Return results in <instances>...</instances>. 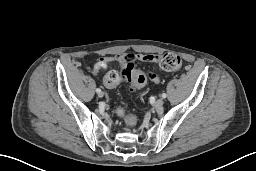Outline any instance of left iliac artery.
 Listing matches in <instances>:
<instances>
[{
    "mask_svg": "<svg viewBox=\"0 0 256 171\" xmlns=\"http://www.w3.org/2000/svg\"><path fill=\"white\" fill-rule=\"evenodd\" d=\"M161 96H162V98H166L167 97L166 93H163Z\"/></svg>",
    "mask_w": 256,
    "mask_h": 171,
    "instance_id": "obj_1",
    "label": "left iliac artery"
}]
</instances>
